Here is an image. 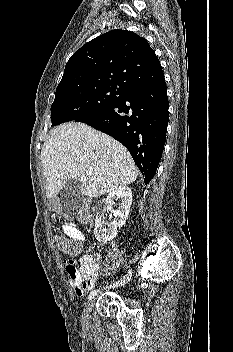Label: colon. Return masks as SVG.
I'll return each instance as SVG.
<instances>
[{
	"label": "colon",
	"mask_w": 233,
	"mask_h": 352,
	"mask_svg": "<svg viewBox=\"0 0 233 352\" xmlns=\"http://www.w3.org/2000/svg\"><path fill=\"white\" fill-rule=\"evenodd\" d=\"M78 219L80 220V222L85 224H90L93 222L94 215L91 211L90 204L88 201H84L82 203L78 211ZM56 241L58 243L60 250L64 254L70 257H74L78 255L81 251V244L76 240H73L65 236H57ZM96 270H97V267L95 264H90V265L80 264L78 267H76L77 274L83 277H88L92 275Z\"/></svg>",
	"instance_id": "1"
}]
</instances>
